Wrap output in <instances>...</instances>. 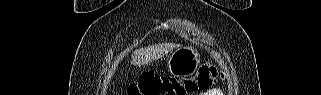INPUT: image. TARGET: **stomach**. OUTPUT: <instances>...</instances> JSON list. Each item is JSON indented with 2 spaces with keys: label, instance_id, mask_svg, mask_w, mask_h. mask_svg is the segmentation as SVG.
Here are the masks:
<instances>
[{
  "label": "stomach",
  "instance_id": "1",
  "mask_svg": "<svg viewBox=\"0 0 321 95\" xmlns=\"http://www.w3.org/2000/svg\"><path fill=\"white\" fill-rule=\"evenodd\" d=\"M201 64L200 55L193 47H181L175 50L167 61L170 74L177 78L193 75Z\"/></svg>",
  "mask_w": 321,
  "mask_h": 95
}]
</instances>
